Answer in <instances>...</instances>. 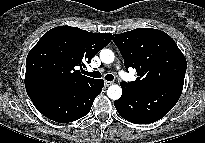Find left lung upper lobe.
<instances>
[{"label":"left lung upper lobe","mask_w":205,"mask_h":143,"mask_svg":"<svg viewBox=\"0 0 205 143\" xmlns=\"http://www.w3.org/2000/svg\"><path fill=\"white\" fill-rule=\"evenodd\" d=\"M113 41L124 59L125 68H135L137 79L121 82L132 89L184 84L187 63L175 41L165 32L138 28L114 34Z\"/></svg>","instance_id":"obj_1"}]
</instances>
